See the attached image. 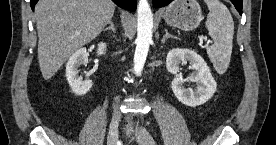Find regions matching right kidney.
Wrapping results in <instances>:
<instances>
[{
	"label": "right kidney",
	"instance_id": "1",
	"mask_svg": "<svg viewBox=\"0 0 276 145\" xmlns=\"http://www.w3.org/2000/svg\"><path fill=\"white\" fill-rule=\"evenodd\" d=\"M106 44L99 43L97 54L98 56L104 55L106 53ZM88 63V53L86 48H81L77 50L72 56H70L66 64V78L72 89V91L79 96L85 95L92 88L93 82L91 80L83 81L82 76H79L78 68Z\"/></svg>",
	"mask_w": 276,
	"mask_h": 145
}]
</instances>
